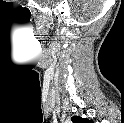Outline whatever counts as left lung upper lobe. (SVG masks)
Listing matches in <instances>:
<instances>
[{"mask_svg":"<svg viewBox=\"0 0 124 123\" xmlns=\"http://www.w3.org/2000/svg\"><path fill=\"white\" fill-rule=\"evenodd\" d=\"M73 123H92L91 120L83 119L81 117L74 116L71 118Z\"/></svg>","mask_w":124,"mask_h":123,"instance_id":"1","label":"left lung upper lobe"}]
</instances>
